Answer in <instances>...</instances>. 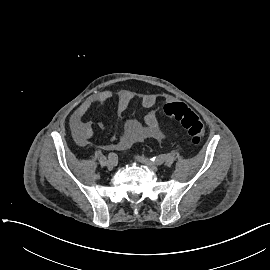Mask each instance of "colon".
<instances>
[{
    "label": "colon",
    "instance_id": "1",
    "mask_svg": "<svg viewBox=\"0 0 270 270\" xmlns=\"http://www.w3.org/2000/svg\"><path fill=\"white\" fill-rule=\"evenodd\" d=\"M159 114L164 119L179 122L187 132L193 146L201 143L204 134L203 124L188 105L182 102L168 103L161 107Z\"/></svg>",
    "mask_w": 270,
    "mask_h": 270
}]
</instances>
